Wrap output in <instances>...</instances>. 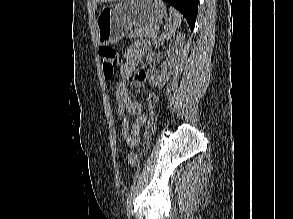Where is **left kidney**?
<instances>
[{
    "instance_id": "obj_1",
    "label": "left kidney",
    "mask_w": 293,
    "mask_h": 219,
    "mask_svg": "<svg viewBox=\"0 0 293 219\" xmlns=\"http://www.w3.org/2000/svg\"><path fill=\"white\" fill-rule=\"evenodd\" d=\"M165 40L173 41L170 49L167 52V62L161 65L160 71H150L148 76L149 83H151L152 86L158 88L164 86L165 83L170 79L171 69L178 61L181 54V49L184 45L181 34L165 33L154 40L155 47H160V45L163 44Z\"/></svg>"
}]
</instances>
